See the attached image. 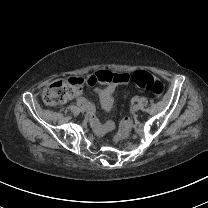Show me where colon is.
Instances as JSON below:
<instances>
[{
    "label": "colon",
    "mask_w": 208,
    "mask_h": 208,
    "mask_svg": "<svg viewBox=\"0 0 208 208\" xmlns=\"http://www.w3.org/2000/svg\"><path fill=\"white\" fill-rule=\"evenodd\" d=\"M127 79L117 76L111 71H98L85 80L77 77L69 79H59L44 86L41 96L45 104L55 107L73 99L75 93H80L84 87H92L97 84L113 83L122 84ZM133 81L137 87L150 92L152 96L161 97L165 92L164 83L156 76L144 71H136L133 74ZM122 132H131L135 128V123L128 118H123L119 122ZM120 138V136L118 135Z\"/></svg>",
    "instance_id": "5ec220e1"
}]
</instances>
